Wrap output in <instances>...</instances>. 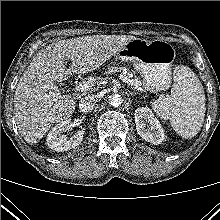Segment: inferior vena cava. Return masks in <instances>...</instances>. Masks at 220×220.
<instances>
[{
  "instance_id": "obj_1",
  "label": "inferior vena cava",
  "mask_w": 220,
  "mask_h": 220,
  "mask_svg": "<svg viewBox=\"0 0 220 220\" xmlns=\"http://www.w3.org/2000/svg\"><path fill=\"white\" fill-rule=\"evenodd\" d=\"M99 101L98 95H87L84 98H82L79 102V109L82 112H89L93 110L96 107V103Z\"/></svg>"
}]
</instances>
